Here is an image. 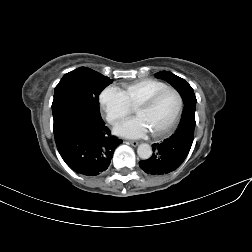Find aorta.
I'll return each mask as SVG.
<instances>
[{
    "label": "aorta",
    "mask_w": 252,
    "mask_h": 252,
    "mask_svg": "<svg viewBox=\"0 0 252 252\" xmlns=\"http://www.w3.org/2000/svg\"><path fill=\"white\" fill-rule=\"evenodd\" d=\"M137 154L141 159H149L152 155V147L149 144H140L137 148Z\"/></svg>",
    "instance_id": "1"
}]
</instances>
